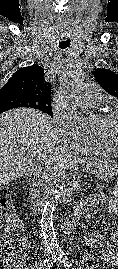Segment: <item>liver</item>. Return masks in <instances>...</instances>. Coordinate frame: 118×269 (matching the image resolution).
Here are the masks:
<instances>
[{
    "mask_svg": "<svg viewBox=\"0 0 118 269\" xmlns=\"http://www.w3.org/2000/svg\"><path fill=\"white\" fill-rule=\"evenodd\" d=\"M58 130L47 114L32 108H16L0 115V186L43 170L50 175L77 164L94 161L76 158L57 146Z\"/></svg>",
    "mask_w": 118,
    "mask_h": 269,
    "instance_id": "liver-1",
    "label": "liver"
}]
</instances>
